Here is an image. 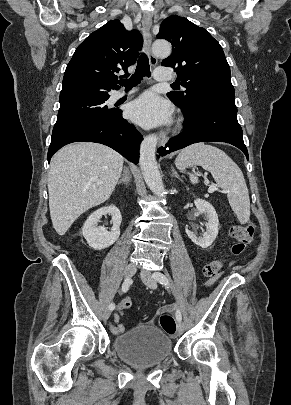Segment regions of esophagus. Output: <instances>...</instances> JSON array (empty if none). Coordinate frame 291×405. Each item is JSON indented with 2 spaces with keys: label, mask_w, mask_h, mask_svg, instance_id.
Here are the masks:
<instances>
[{
  "label": "esophagus",
  "mask_w": 291,
  "mask_h": 405,
  "mask_svg": "<svg viewBox=\"0 0 291 405\" xmlns=\"http://www.w3.org/2000/svg\"><path fill=\"white\" fill-rule=\"evenodd\" d=\"M142 24L145 30V50L148 54L149 61L152 67H155L158 63L157 58L153 55L151 44H152V34H151V26H152V15L150 13H145L142 18ZM159 145H165L167 143L168 137L166 133L161 132L159 134Z\"/></svg>",
  "instance_id": "34e87169"
}]
</instances>
